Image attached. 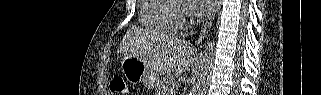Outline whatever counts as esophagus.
I'll return each mask as SVG.
<instances>
[{
  "mask_svg": "<svg viewBox=\"0 0 321 95\" xmlns=\"http://www.w3.org/2000/svg\"><path fill=\"white\" fill-rule=\"evenodd\" d=\"M220 1L219 0H215L212 4V8L210 10V13L207 17V19L205 20L201 31L199 33L198 39L196 41L197 44H200L204 38L206 37L207 33L209 32V30L211 29L212 23L214 21L218 6H219Z\"/></svg>",
  "mask_w": 321,
  "mask_h": 95,
  "instance_id": "obj_1",
  "label": "esophagus"
}]
</instances>
